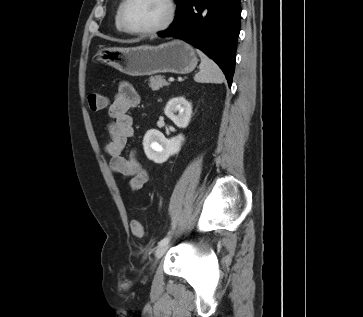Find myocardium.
Returning a JSON list of instances; mask_svg holds the SVG:
<instances>
[{
    "instance_id": "obj_1",
    "label": "myocardium",
    "mask_w": 363,
    "mask_h": 317,
    "mask_svg": "<svg viewBox=\"0 0 363 317\" xmlns=\"http://www.w3.org/2000/svg\"><path fill=\"white\" fill-rule=\"evenodd\" d=\"M130 1L131 0H122L118 14L120 26L126 33L141 36L155 35L169 28L175 18L176 6L174 0H164L167 7V15L161 24L149 29H132L127 25L125 19L126 7Z\"/></svg>"
}]
</instances>
